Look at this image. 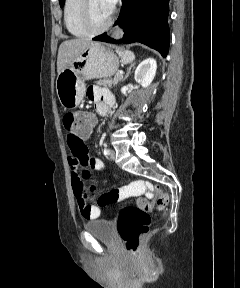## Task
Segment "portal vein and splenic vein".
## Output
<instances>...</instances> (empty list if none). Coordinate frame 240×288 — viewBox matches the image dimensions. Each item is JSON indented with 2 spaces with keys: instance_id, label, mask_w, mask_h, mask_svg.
<instances>
[{
  "instance_id": "portal-vein-and-splenic-vein-1",
  "label": "portal vein and splenic vein",
  "mask_w": 240,
  "mask_h": 288,
  "mask_svg": "<svg viewBox=\"0 0 240 288\" xmlns=\"http://www.w3.org/2000/svg\"><path fill=\"white\" fill-rule=\"evenodd\" d=\"M123 74V72H119V73H117V75H122Z\"/></svg>"
}]
</instances>
